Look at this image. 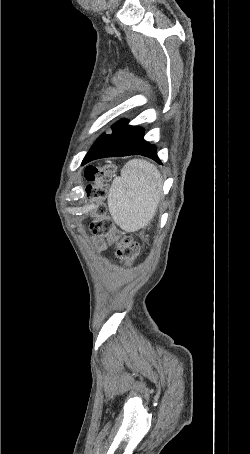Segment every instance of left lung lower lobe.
Returning <instances> with one entry per match:
<instances>
[{
	"mask_svg": "<svg viewBox=\"0 0 250 454\" xmlns=\"http://www.w3.org/2000/svg\"><path fill=\"white\" fill-rule=\"evenodd\" d=\"M144 130L121 120L112 126L111 134L101 135L91 147L82 165L99 158L143 155L161 164L154 145L143 139Z\"/></svg>",
	"mask_w": 250,
	"mask_h": 454,
	"instance_id": "obj_1",
	"label": "left lung lower lobe"
}]
</instances>
